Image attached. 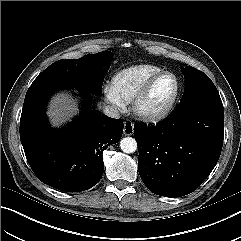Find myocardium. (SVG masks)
<instances>
[{"mask_svg":"<svg viewBox=\"0 0 241 241\" xmlns=\"http://www.w3.org/2000/svg\"><path fill=\"white\" fill-rule=\"evenodd\" d=\"M171 76L175 81V90L171 98L162 106L156 109H148L145 107V102L153 89L154 85L163 77ZM180 81L178 77L170 71H161L150 78L137 95L132 100V111L134 115L145 122H158L169 115L174 108L179 94H180Z\"/></svg>","mask_w":241,"mask_h":241,"instance_id":"obj_1","label":"myocardium"}]
</instances>
